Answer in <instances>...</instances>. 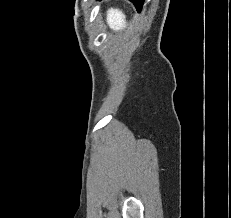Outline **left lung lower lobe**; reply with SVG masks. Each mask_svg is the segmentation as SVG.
Instances as JSON below:
<instances>
[{"mask_svg":"<svg viewBox=\"0 0 231 218\" xmlns=\"http://www.w3.org/2000/svg\"><path fill=\"white\" fill-rule=\"evenodd\" d=\"M136 6L137 10L140 11L144 0H130Z\"/></svg>","mask_w":231,"mask_h":218,"instance_id":"1","label":"left lung lower lobe"}]
</instances>
